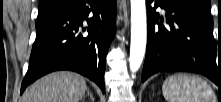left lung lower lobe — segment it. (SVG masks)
Masks as SVG:
<instances>
[{
	"instance_id": "0a47b994",
	"label": "left lung lower lobe",
	"mask_w": 221,
	"mask_h": 102,
	"mask_svg": "<svg viewBox=\"0 0 221 102\" xmlns=\"http://www.w3.org/2000/svg\"><path fill=\"white\" fill-rule=\"evenodd\" d=\"M146 6L148 37L142 81L157 72L189 71L221 87L220 51L218 47L217 65L210 12L191 0H146ZM158 7L166 10L170 29L159 25Z\"/></svg>"
}]
</instances>
